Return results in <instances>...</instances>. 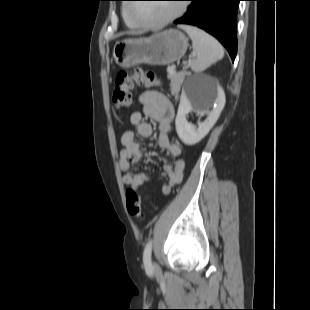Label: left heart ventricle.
<instances>
[{
    "instance_id": "1",
    "label": "left heart ventricle",
    "mask_w": 310,
    "mask_h": 310,
    "mask_svg": "<svg viewBox=\"0 0 310 310\" xmlns=\"http://www.w3.org/2000/svg\"><path fill=\"white\" fill-rule=\"evenodd\" d=\"M177 9V5L169 3L135 4L130 13L142 21L156 23L170 17Z\"/></svg>"
}]
</instances>
